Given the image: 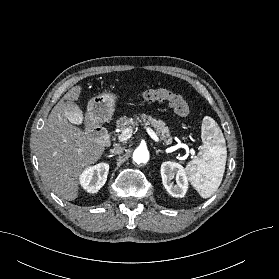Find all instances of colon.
<instances>
[{"mask_svg":"<svg viewBox=\"0 0 279 279\" xmlns=\"http://www.w3.org/2000/svg\"><path fill=\"white\" fill-rule=\"evenodd\" d=\"M142 97L148 102L167 101L179 116L187 117L189 115L190 108L183 96L168 89H148L143 92Z\"/></svg>","mask_w":279,"mask_h":279,"instance_id":"5ec220e1","label":"colon"}]
</instances>
